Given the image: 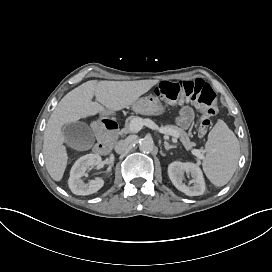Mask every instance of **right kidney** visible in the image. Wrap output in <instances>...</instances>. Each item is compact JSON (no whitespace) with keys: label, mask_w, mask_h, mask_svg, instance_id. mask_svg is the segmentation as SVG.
Instances as JSON below:
<instances>
[{"label":"right kidney","mask_w":272,"mask_h":272,"mask_svg":"<svg viewBox=\"0 0 272 272\" xmlns=\"http://www.w3.org/2000/svg\"><path fill=\"white\" fill-rule=\"evenodd\" d=\"M101 161V156L98 154H87L80 157L70 170L68 185L70 190L75 195H91L99 191L104 186V181L101 178L90 180L86 184L83 183L82 177L85 174L86 168H94Z\"/></svg>","instance_id":"ca27d5eb"}]
</instances>
